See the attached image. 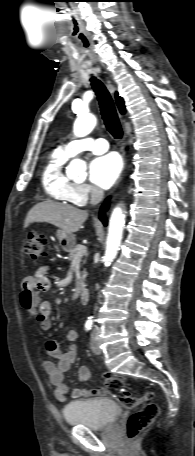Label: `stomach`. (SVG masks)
Listing matches in <instances>:
<instances>
[{"label":"stomach","instance_id":"1","mask_svg":"<svg viewBox=\"0 0 195 456\" xmlns=\"http://www.w3.org/2000/svg\"><path fill=\"white\" fill-rule=\"evenodd\" d=\"M57 239L59 241L60 246L64 250H70L75 245V236L73 234L65 233L62 230H58L56 233Z\"/></svg>","mask_w":195,"mask_h":456}]
</instances>
